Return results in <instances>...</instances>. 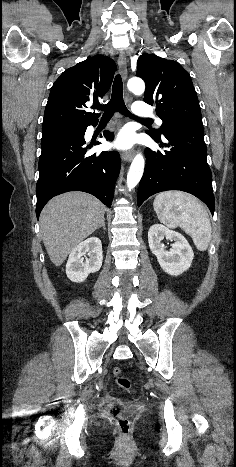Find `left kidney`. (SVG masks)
Segmentation results:
<instances>
[{"mask_svg": "<svg viewBox=\"0 0 236 467\" xmlns=\"http://www.w3.org/2000/svg\"><path fill=\"white\" fill-rule=\"evenodd\" d=\"M164 238L174 241L170 250H166L161 243ZM148 242L160 267L167 274L178 276L190 268L194 253L188 241L180 233L169 230L161 224H154L148 231Z\"/></svg>", "mask_w": 236, "mask_h": 467, "instance_id": "left-kidney-1", "label": "left kidney"}]
</instances>
